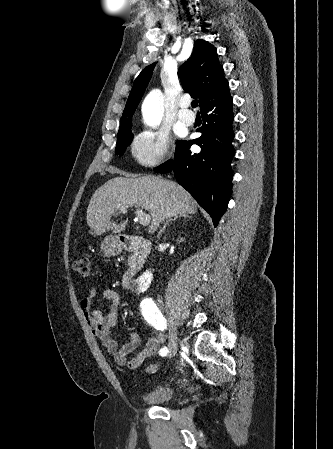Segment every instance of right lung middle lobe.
Masks as SVG:
<instances>
[{"label": "right lung middle lobe", "instance_id": "obj_1", "mask_svg": "<svg viewBox=\"0 0 333 449\" xmlns=\"http://www.w3.org/2000/svg\"><path fill=\"white\" fill-rule=\"evenodd\" d=\"M132 121L124 119L120 121V128L117 135L116 154L122 155L126 147L131 143L133 135L131 134Z\"/></svg>", "mask_w": 333, "mask_h": 449}]
</instances>
